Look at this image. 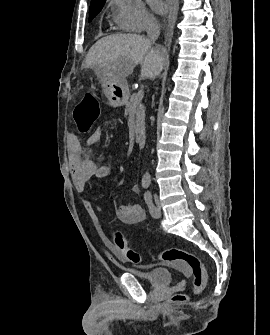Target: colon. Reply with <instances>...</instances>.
Masks as SVG:
<instances>
[{"label": "colon", "mask_w": 270, "mask_h": 335, "mask_svg": "<svg viewBox=\"0 0 270 335\" xmlns=\"http://www.w3.org/2000/svg\"><path fill=\"white\" fill-rule=\"evenodd\" d=\"M100 116V107L98 99L92 94H85L76 107L72 110L74 123H77L78 131L86 134L95 125ZM117 254L125 261L135 265H141L144 261L142 256L130 248L124 236L117 232L115 234ZM162 261L169 262L180 269L188 271L192 277V292L199 294L206 287L207 276L201 259L185 248H168L159 254ZM187 295L177 293L173 299L176 301H185Z\"/></svg>", "instance_id": "colon-1"}]
</instances>
